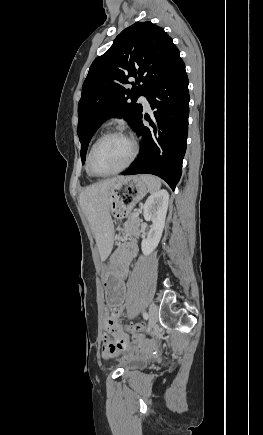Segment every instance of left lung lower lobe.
<instances>
[{"instance_id":"1","label":"left lung lower lobe","mask_w":263,"mask_h":435,"mask_svg":"<svg viewBox=\"0 0 263 435\" xmlns=\"http://www.w3.org/2000/svg\"><path fill=\"white\" fill-rule=\"evenodd\" d=\"M153 119L151 128L140 117L134 131L141 137L138 158L123 175L154 174L175 189L182 173V161L187 147L189 91L185 65L180 59L169 74L147 95Z\"/></svg>"}]
</instances>
